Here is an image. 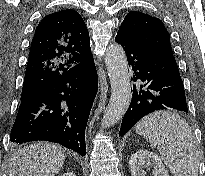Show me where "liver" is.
I'll return each mask as SVG.
<instances>
[{
    "instance_id": "obj_1",
    "label": "liver",
    "mask_w": 205,
    "mask_h": 176,
    "mask_svg": "<svg viewBox=\"0 0 205 176\" xmlns=\"http://www.w3.org/2000/svg\"><path fill=\"white\" fill-rule=\"evenodd\" d=\"M65 150L47 142H38L16 152L9 176H55L65 161Z\"/></svg>"
}]
</instances>
